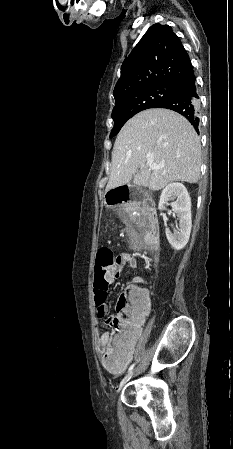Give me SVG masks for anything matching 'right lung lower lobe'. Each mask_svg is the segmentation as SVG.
<instances>
[{
  "mask_svg": "<svg viewBox=\"0 0 233 449\" xmlns=\"http://www.w3.org/2000/svg\"><path fill=\"white\" fill-rule=\"evenodd\" d=\"M174 96L161 102L155 108H166L186 117L198 132L199 128V96L195 84V76L172 85Z\"/></svg>",
  "mask_w": 233,
  "mask_h": 449,
  "instance_id": "right-lung-lower-lobe-1",
  "label": "right lung lower lobe"
}]
</instances>
